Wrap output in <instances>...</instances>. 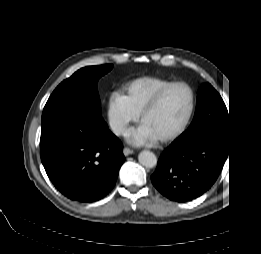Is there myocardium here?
Masks as SVG:
<instances>
[{
    "mask_svg": "<svg viewBox=\"0 0 261 254\" xmlns=\"http://www.w3.org/2000/svg\"><path fill=\"white\" fill-rule=\"evenodd\" d=\"M175 87H183L187 90L188 92V105H187V109L181 119V121L179 122V124L177 125V127L175 129H173L172 131L166 133V134H162L157 136V140L161 141V142H166V141H170L172 139H174L175 137H177L186 127V125L188 124L191 115L193 113L194 110V105H195V95L193 90L191 89V87L185 83H171L168 86H166L165 88H163L141 111L140 113V122H142L145 118V116L151 112L162 100V98L173 88Z\"/></svg>",
    "mask_w": 261,
    "mask_h": 254,
    "instance_id": "myocardium-1",
    "label": "myocardium"
}]
</instances>
